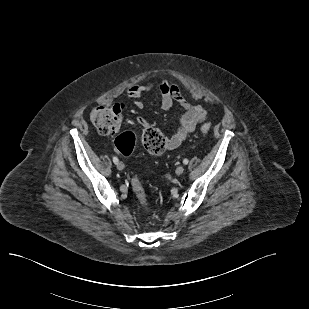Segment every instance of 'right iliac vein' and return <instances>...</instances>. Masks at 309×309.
Segmentation results:
<instances>
[{"mask_svg":"<svg viewBox=\"0 0 309 309\" xmlns=\"http://www.w3.org/2000/svg\"><path fill=\"white\" fill-rule=\"evenodd\" d=\"M117 168H118L119 170H123V169L125 168L124 163H123V162H118V163H117Z\"/></svg>","mask_w":309,"mask_h":309,"instance_id":"63e3f726","label":"right iliac vein"}]
</instances>
